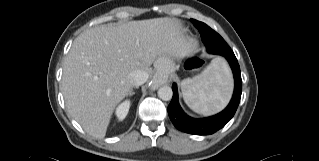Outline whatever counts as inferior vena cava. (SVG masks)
I'll return each instance as SVG.
<instances>
[{"label": "inferior vena cava", "mask_w": 319, "mask_h": 161, "mask_svg": "<svg viewBox=\"0 0 319 161\" xmlns=\"http://www.w3.org/2000/svg\"><path fill=\"white\" fill-rule=\"evenodd\" d=\"M148 77V73L142 70H136L129 74L130 83L132 84V86H140L144 84L147 81Z\"/></svg>", "instance_id": "obj_1"}]
</instances>
